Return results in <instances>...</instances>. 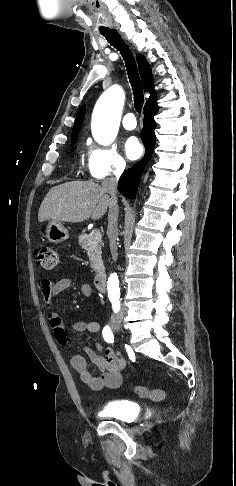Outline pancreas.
I'll use <instances>...</instances> for the list:
<instances>
[{
	"instance_id": "1",
	"label": "pancreas",
	"mask_w": 236,
	"mask_h": 486,
	"mask_svg": "<svg viewBox=\"0 0 236 486\" xmlns=\"http://www.w3.org/2000/svg\"><path fill=\"white\" fill-rule=\"evenodd\" d=\"M79 245L87 252L90 259L92 271L96 275L104 271L103 261L101 258V248L103 242L96 240L92 234H81L78 238Z\"/></svg>"
}]
</instances>
